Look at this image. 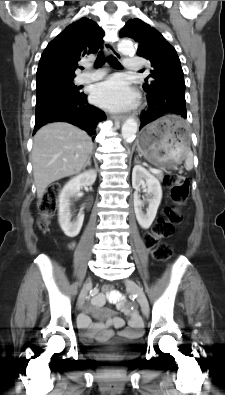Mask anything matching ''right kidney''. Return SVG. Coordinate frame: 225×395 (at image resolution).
<instances>
[{
	"instance_id": "ca27d5eb",
	"label": "right kidney",
	"mask_w": 225,
	"mask_h": 395,
	"mask_svg": "<svg viewBox=\"0 0 225 395\" xmlns=\"http://www.w3.org/2000/svg\"><path fill=\"white\" fill-rule=\"evenodd\" d=\"M96 171L88 170L72 178L62 189L59 196V225L66 236L75 237L79 234L84 214L79 212L77 218L71 221L70 199L77 195L82 187L91 186L96 180Z\"/></svg>"
}]
</instances>
